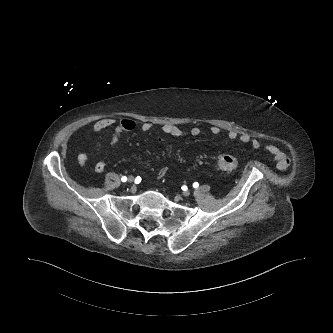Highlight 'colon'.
Here are the masks:
<instances>
[{"mask_svg":"<svg viewBox=\"0 0 333 333\" xmlns=\"http://www.w3.org/2000/svg\"><path fill=\"white\" fill-rule=\"evenodd\" d=\"M216 164L219 169L225 172H233L238 168V159L230 154H221L216 159Z\"/></svg>","mask_w":333,"mask_h":333,"instance_id":"1","label":"colon"}]
</instances>
